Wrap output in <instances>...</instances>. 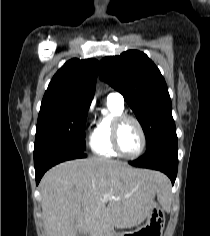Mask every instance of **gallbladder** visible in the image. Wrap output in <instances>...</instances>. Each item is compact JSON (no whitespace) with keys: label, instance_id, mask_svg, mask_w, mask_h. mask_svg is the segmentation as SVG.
Returning a JSON list of instances; mask_svg holds the SVG:
<instances>
[{"label":"gallbladder","instance_id":"bac80fb5","mask_svg":"<svg viewBox=\"0 0 210 236\" xmlns=\"http://www.w3.org/2000/svg\"><path fill=\"white\" fill-rule=\"evenodd\" d=\"M76 236H87V235H85L83 232H78Z\"/></svg>","mask_w":210,"mask_h":236}]
</instances>
